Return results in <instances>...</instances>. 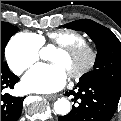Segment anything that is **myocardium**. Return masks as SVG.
Masks as SVG:
<instances>
[{
  "label": "myocardium",
  "instance_id": "f54148a6",
  "mask_svg": "<svg viewBox=\"0 0 121 121\" xmlns=\"http://www.w3.org/2000/svg\"><path fill=\"white\" fill-rule=\"evenodd\" d=\"M56 50L71 58L75 57L77 60L83 61L77 69L68 74V77L73 80H78L86 76L93 70L98 60L96 49L86 43L60 45Z\"/></svg>",
  "mask_w": 121,
  "mask_h": 121
}]
</instances>
